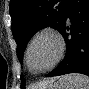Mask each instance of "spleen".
I'll use <instances>...</instances> for the list:
<instances>
[{"instance_id":"3e777b00","label":"spleen","mask_w":89,"mask_h":89,"mask_svg":"<svg viewBox=\"0 0 89 89\" xmlns=\"http://www.w3.org/2000/svg\"><path fill=\"white\" fill-rule=\"evenodd\" d=\"M67 89H89V78L83 74H67L60 79Z\"/></svg>"}]
</instances>
